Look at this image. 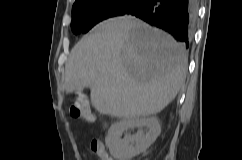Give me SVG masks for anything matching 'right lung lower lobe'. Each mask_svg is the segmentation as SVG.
<instances>
[{
	"label": "right lung lower lobe",
	"mask_w": 242,
	"mask_h": 160,
	"mask_svg": "<svg viewBox=\"0 0 242 160\" xmlns=\"http://www.w3.org/2000/svg\"><path fill=\"white\" fill-rule=\"evenodd\" d=\"M124 15L163 29L189 47L197 15V0H143Z\"/></svg>",
	"instance_id": "right-lung-lower-lobe-1"
}]
</instances>
